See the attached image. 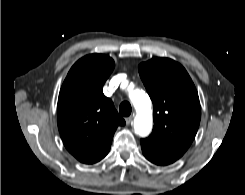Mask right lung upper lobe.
Wrapping results in <instances>:
<instances>
[{"mask_svg":"<svg viewBox=\"0 0 245 195\" xmlns=\"http://www.w3.org/2000/svg\"><path fill=\"white\" fill-rule=\"evenodd\" d=\"M114 67L109 56L87 55L72 66L60 90L57 120L61 138L66 149L85 164L104 158L117 127L125 125L102 91Z\"/></svg>","mask_w":245,"mask_h":195,"instance_id":"1","label":"right lung upper lobe"}]
</instances>
